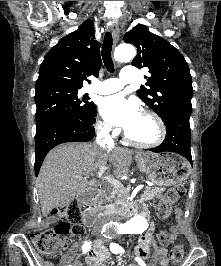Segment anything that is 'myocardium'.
Wrapping results in <instances>:
<instances>
[{
  "label": "myocardium",
  "mask_w": 221,
  "mask_h": 266,
  "mask_svg": "<svg viewBox=\"0 0 221 266\" xmlns=\"http://www.w3.org/2000/svg\"><path fill=\"white\" fill-rule=\"evenodd\" d=\"M142 115L150 118L153 121V123L156 127V135L154 136V138L150 141H137V140L131 138L129 136V134L127 133V131H125V133H124L125 140L129 144L136 146V147H139V148H151V147H154V146L160 144L163 141V139L166 135V126H165L163 120L161 119V117L157 113H155L154 111L144 110L142 112Z\"/></svg>",
  "instance_id": "f54148a6"
}]
</instances>
